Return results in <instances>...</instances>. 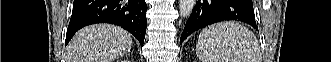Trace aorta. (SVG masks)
Wrapping results in <instances>:
<instances>
[{
  "instance_id": "aorta-1",
  "label": "aorta",
  "mask_w": 331,
  "mask_h": 62,
  "mask_svg": "<svg viewBox=\"0 0 331 62\" xmlns=\"http://www.w3.org/2000/svg\"><path fill=\"white\" fill-rule=\"evenodd\" d=\"M196 0H179V10L182 17L187 18L191 15Z\"/></svg>"
}]
</instances>
